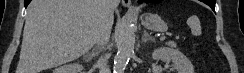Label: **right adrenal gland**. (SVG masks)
<instances>
[{"mask_svg":"<svg viewBox=\"0 0 244 73\" xmlns=\"http://www.w3.org/2000/svg\"><path fill=\"white\" fill-rule=\"evenodd\" d=\"M99 51H100V48H98V49H93V51H92V56H97L98 53H99Z\"/></svg>","mask_w":244,"mask_h":73,"instance_id":"2a0ac1e0","label":"right adrenal gland"}]
</instances>
